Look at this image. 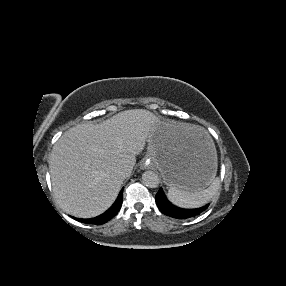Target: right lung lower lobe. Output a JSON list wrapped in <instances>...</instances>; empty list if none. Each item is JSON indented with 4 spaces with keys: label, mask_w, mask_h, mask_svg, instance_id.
I'll return each mask as SVG.
<instances>
[{
    "label": "right lung lower lobe",
    "mask_w": 286,
    "mask_h": 286,
    "mask_svg": "<svg viewBox=\"0 0 286 286\" xmlns=\"http://www.w3.org/2000/svg\"><path fill=\"white\" fill-rule=\"evenodd\" d=\"M122 193H123V189L119 193V196L117 200L115 201V203L105 213L101 214L100 216H97L91 219H80V218H75V217L73 218L79 222H83L87 224H96V225H100V224H103L109 221L119 212L122 206Z\"/></svg>",
    "instance_id": "1"
}]
</instances>
